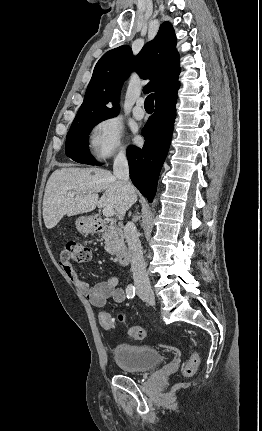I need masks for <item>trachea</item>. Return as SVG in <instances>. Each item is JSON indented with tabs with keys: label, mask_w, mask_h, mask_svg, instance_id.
I'll list each match as a JSON object with an SVG mask.
<instances>
[{
	"label": "trachea",
	"mask_w": 262,
	"mask_h": 431,
	"mask_svg": "<svg viewBox=\"0 0 262 431\" xmlns=\"http://www.w3.org/2000/svg\"><path fill=\"white\" fill-rule=\"evenodd\" d=\"M144 107L146 110H153L154 109V95L149 94L147 98L145 99Z\"/></svg>",
	"instance_id": "obj_1"
}]
</instances>
